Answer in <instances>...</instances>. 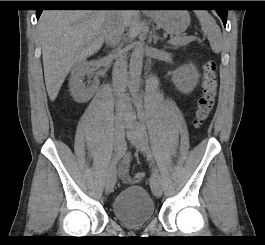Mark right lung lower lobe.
<instances>
[{
	"label": "right lung lower lobe",
	"instance_id": "obj_1",
	"mask_svg": "<svg viewBox=\"0 0 265 245\" xmlns=\"http://www.w3.org/2000/svg\"><path fill=\"white\" fill-rule=\"evenodd\" d=\"M50 6H60V7H71V6H79V7H122L126 6L124 1H81L78 4L72 3H51ZM43 9L36 10V17L39 19Z\"/></svg>",
	"mask_w": 265,
	"mask_h": 245
}]
</instances>
